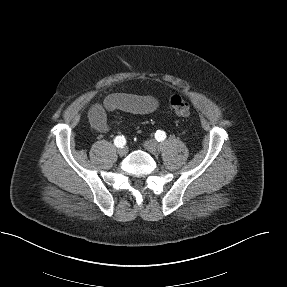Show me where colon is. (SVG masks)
I'll return each mask as SVG.
<instances>
[{
	"instance_id": "obj_1",
	"label": "colon",
	"mask_w": 287,
	"mask_h": 287,
	"mask_svg": "<svg viewBox=\"0 0 287 287\" xmlns=\"http://www.w3.org/2000/svg\"><path fill=\"white\" fill-rule=\"evenodd\" d=\"M170 106L179 117H187L191 111L189 102L179 95H173L170 98Z\"/></svg>"
}]
</instances>
